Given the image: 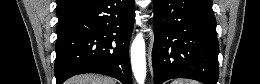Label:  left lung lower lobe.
Returning a JSON list of instances; mask_svg holds the SVG:
<instances>
[{
    "label": "left lung lower lobe",
    "mask_w": 260,
    "mask_h": 84,
    "mask_svg": "<svg viewBox=\"0 0 260 84\" xmlns=\"http://www.w3.org/2000/svg\"><path fill=\"white\" fill-rule=\"evenodd\" d=\"M154 83L190 78L216 84L219 45L212 0H154Z\"/></svg>",
    "instance_id": "1"
}]
</instances>
